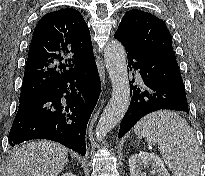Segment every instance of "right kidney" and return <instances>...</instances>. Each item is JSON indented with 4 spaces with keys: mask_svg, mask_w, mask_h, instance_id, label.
I'll use <instances>...</instances> for the list:
<instances>
[{
    "mask_svg": "<svg viewBox=\"0 0 205 176\" xmlns=\"http://www.w3.org/2000/svg\"><path fill=\"white\" fill-rule=\"evenodd\" d=\"M61 176H76L75 174L71 173V172H67Z\"/></svg>",
    "mask_w": 205,
    "mask_h": 176,
    "instance_id": "ca27d5eb",
    "label": "right kidney"
}]
</instances>
